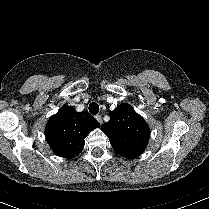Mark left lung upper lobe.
Wrapping results in <instances>:
<instances>
[{"label":"left lung upper lobe","instance_id":"obj_1","mask_svg":"<svg viewBox=\"0 0 209 209\" xmlns=\"http://www.w3.org/2000/svg\"><path fill=\"white\" fill-rule=\"evenodd\" d=\"M109 115L110 120L101 130L110 139L113 149L128 159L142 154L150 135L145 120L127 103L120 104Z\"/></svg>","mask_w":209,"mask_h":209}]
</instances>
